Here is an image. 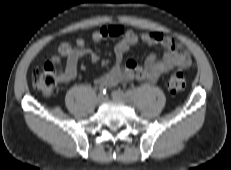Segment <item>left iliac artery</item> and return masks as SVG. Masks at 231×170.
Returning a JSON list of instances; mask_svg holds the SVG:
<instances>
[{
  "label": "left iliac artery",
  "mask_w": 231,
  "mask_h": 170,
  "mask_svg": "<svg viewBox=\"0 0 231 170\" xmlns=\"http://www.w3.org/2000/svg\"><path fill=\"white\" fill-rule=\"evenodd\" d=\"M134 92H135V90L128 89V90L126 91V95H127L128 97H133Z\"/></svg>",
  "instance_id": "left-iliac-artery-1"
}]
</instances>
